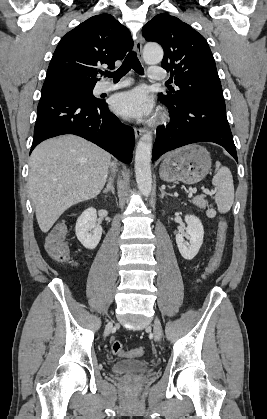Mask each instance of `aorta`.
<instances>
[{
    "instance_id": "762f6f07",
    "label": "aorta",
    "mask_w": 267,
    "mask_h": 419,
    "mask_svg": "<svg viewBox=\"0 0 267 419\" xmlns=\"http://www.w3.org/2000/svg\"><path fill=\"white\" fill-rule=\"evenodd\" d=\"M144 60L148 64H158L163 59V50L157 44H147L144 47ZM152 133L143 134L137 144L135 153V174L139 191L148 197L152 190L151 154Z\"/></svg>"
}]
</instances>
